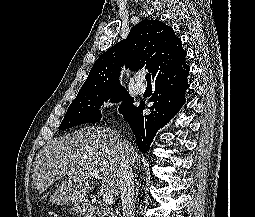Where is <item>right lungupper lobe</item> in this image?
Returning <instances> with one entry per match:
<instances>
[{
  "mask_svg": "<svg viewBox=\"0 0 255 217\" xmlns=\"http://www.w3.org/2000/svg\"><path fill=\"white\" fill-rule=\"evenodd\" d=\"M186 54L170 26L157 20H142L132 27L127 39L96 60L79 93L123 88L119 83L123 64L131 71L146 68L156 79L181 63Z\"/></svg>",
  "mask_w": 255,
  "mask_h": 217,
  "instance_id": "cb5924a9",
  "label": "right lung upper lobe"
}]
</instances>
